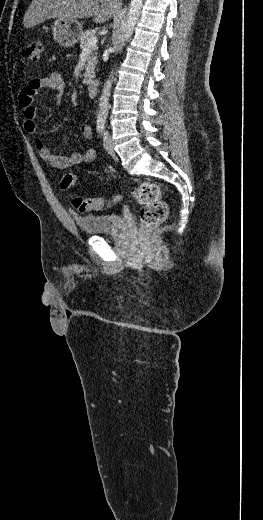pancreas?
Listing matches in <instances>:
<instances>
[{
    "mask_svg": "<svg viewBox=\"0 0 263 520\" xmlns=\"http://www.w3.org/2000/svg\"><path fill=\"white\" fill-rule=\"evenodd\" d=\"M96 31L94 29L86 30L82 32L79 40H80V48L84 49L87 47V42L90 38L95 37ZM97 47L95 46L90 50V53L87 57V65L85 67L84 80L86 83H89L91 79L94 77V69L97 64Z\"/></svg>",
    "mask_w": 263,
    "mask_h": 520,
    "instance_id": "obj_1",
    "label": "pancreas"
}]
</instances>
